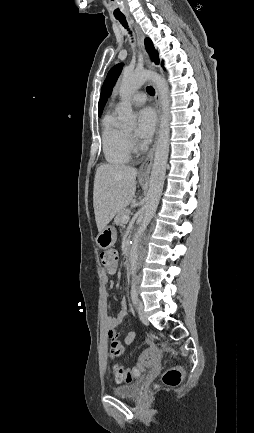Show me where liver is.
Instances as JSON below:
<instances>
[{
	"label": "liver",
	"mask_w": 254,
	"mask_h": 433,
	"mask_svg": "<svg viewBox=\"0 0 254 433\" xmlns=\"http://www.w3.org/2000/svg\"><path fill=\"white\" fill-rule=\"evenodd\" d=\"M137 169L131 166L102 164L95 174L93 207L98 231L128 206L136 191Z\"/></svg>",
	"instance_id": "liver-1"
}]
</instances>
